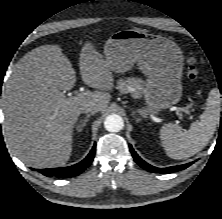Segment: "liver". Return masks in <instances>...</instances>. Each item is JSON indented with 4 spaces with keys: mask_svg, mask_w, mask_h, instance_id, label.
<instances>
[{
    "mask_svg": "<svg viewBox=\"0 0 222 219\" xmlns=\"http://www.w3.org/2000/svg\"><path fill=\"white\" fill-rule=\"evenodd\" d=\"M84 84L99 89L84 97L66 98L76 72L59 45H42L15 65L3 95L4 129L9 147L27 166L52 168L64 165L72 152L73 128L82 109L90 104L106 111L114 87L109 61L83 46L79 58Z\"/></svg>",
    "mask_w": 222,
    "mask_h": 219,
    "instance_id": "1",
    "label": "liver"
}]
</instances>
